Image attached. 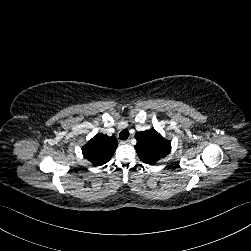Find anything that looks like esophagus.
Listing matches in <instances>:
<instances>
[{
	"instance_id": "esophagus-1",
	"label": "esophagus",
	"mask_w": 251,
	"mask_h": 251,
	"mask_svg": "<svg viewBox=\"0 0 251 251\" xmlns=\"http://www.w3.org/2000/svg\"><path fill=\"white\" fill-rule=\"evenodd\" d=\"M120 143L126 145V144H129V143H130V140H122V141H120Z\"/></svg>"
}]
</instances>
